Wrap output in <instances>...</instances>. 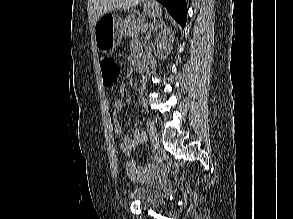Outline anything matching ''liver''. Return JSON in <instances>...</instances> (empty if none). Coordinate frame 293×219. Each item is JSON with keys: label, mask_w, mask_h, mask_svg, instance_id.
<instances>
[{"label": "liver", "mask_w": 293, "mask_h": 219, "mask_svg": "<svg viewBox=\"0 0 293 219\" xmlns=\"http://www.w3.org/2000/svg\"><path fill=\"white\" fill-rule=\"evenodd\" d=\"M143 0H94V23L104 14L114 10H129Z\"/></svg>", "instance_id": "liver-1"}]
</instances>
